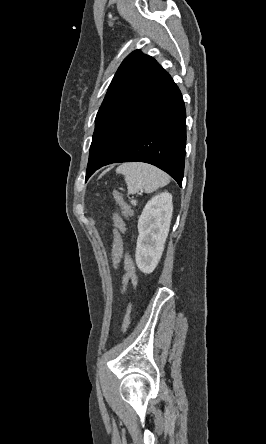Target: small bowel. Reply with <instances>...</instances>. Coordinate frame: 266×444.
<instances>
[{
  "label": "small bowel",
  "instance_id": "obj_1",
  "mask_svg": "<svg viewBox=\"0 0 266 444\" xmlns=\"http://www.w3.org/2000/svg\"><path fill=\"white\" fill-rule=\"evenodd\" d=\"M125 270L126 274L123 276L122 284L126 286L128 283L136 284V278L133 271L132 261L129 256L125 258Z\"/></svg>",
  "mask_w": 266,
  "mask_h": 444
}]
</instances>
